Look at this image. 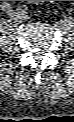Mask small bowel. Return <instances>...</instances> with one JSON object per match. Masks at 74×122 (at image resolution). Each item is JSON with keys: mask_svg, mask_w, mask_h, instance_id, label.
I'll use <instances>...</instances> for the list:
<instances>
[{"mask_svg": "<svg viewBox=\"0 0 74 122\" xmlns=\"http://www.w3.org/2000/svg\"><path fill=\"white\" fill-rule=\"evenodd\" d=\"M30 2L37 4V3H42L44 1H30Z\"/></svg>", "mask_w": 74, "mask_h": 122, "instance_id": "obj_1", "label": "small bowel"}]
</instances>
